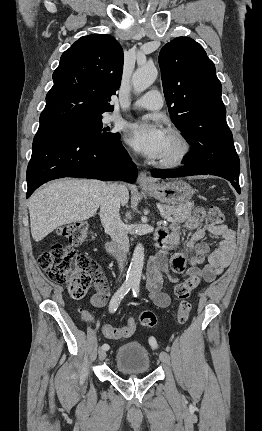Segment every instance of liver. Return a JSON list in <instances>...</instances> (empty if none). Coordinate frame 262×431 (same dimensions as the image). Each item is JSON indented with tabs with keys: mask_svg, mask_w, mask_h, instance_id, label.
I'll use <instances>...</instances> for the list:
<instances>
[{
	"mask_svg": "<svg viewBox=\"0 0 262 431\" xmlns=\"http://www.w3.org/2000/svg\"><path fill=\"white\" fill-rule=\"evenodd\" d=\"M107 187L99 180L62 179L36 191L28 204L32 238L39 242L59 226L93 217ZM128 200L125 186L120 202L124 206Z\"/></svg>",
	"mask_w": 262,
	"mask_h": 431,
	"instance_id": "obj_1",
	"label": "liver"
}]
</instances>
